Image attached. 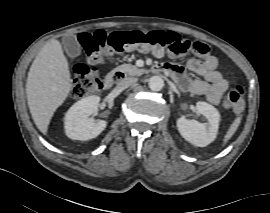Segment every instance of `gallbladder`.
Masks as SVG:
<instances>
[{"label": "gallbladder", "mask_w": 270, "mask_h": 213, "mask_svg": "<svg viewBox=\"0 0 270 213\" xmlns=\"http://www.w3.org/2000/svg\"><path fill=\"white\" fill-rule=\"evenodd\" d=\"M62 43L64 45L67 54L70 57H77L78 55H80L81 47L75 35H68L63 37Z\"/></svg>", "instance_id": "obj_1"}]
</instances>
